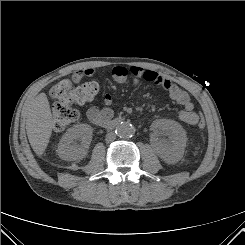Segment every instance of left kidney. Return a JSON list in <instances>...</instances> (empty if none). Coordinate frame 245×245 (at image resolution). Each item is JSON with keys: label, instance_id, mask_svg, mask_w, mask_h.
I'll return each mask as SVG.
<instances>
[{"label": "left kidney", "instance_id": "obj_1", "mask_svg": "<svg viewBox=\"0 0 245 245\" xmlns=\"http://www.w3.org/2000/svg\"><path fill=\"white\" fill-rule=\"evenodd\" d=\"M152 129L156 135H167L169 140L159 138L156 142V148L159 156L167 162L178 161L186 147V132L183 127L172 120H157L152 124Z\"/></svg>", "mask_w": 245, "mask_h": 245}]
</instances>
